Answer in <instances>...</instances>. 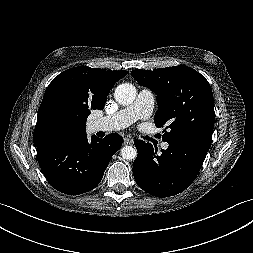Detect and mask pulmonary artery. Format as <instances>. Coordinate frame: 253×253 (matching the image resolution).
<instances>
[{
    "label": "pulmonary artery",
    "mask_w": 253,
    "mask_h": 253,
    "mask_svg": "<svg viewBox=\"0 0 253 253\" xmlns=\"http://www.w3.org/2000/svg\"><path fill=\"white\" fill-rule=\"evenodd\" d=\"M154 95L149 89H142L134 102L118 112L108 115L93 122L94 131H116L124 129L137 120L147 119L153 112ZM169 147L167 142L161 144L166 150Z\"/></svg>",
    "instance_id": "obj_1"
}]
</instances>
